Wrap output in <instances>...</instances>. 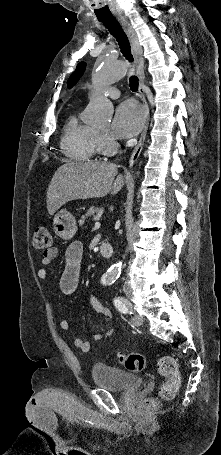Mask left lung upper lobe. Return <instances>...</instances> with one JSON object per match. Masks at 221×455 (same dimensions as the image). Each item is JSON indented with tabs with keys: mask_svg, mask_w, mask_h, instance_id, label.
<instances>
[{
	"mask_svg": "<svg viewBox=\"0 0 221 455\" xmlns=\"http://www.w3.org/2000/svg\"><path fill=\"white\" fill-rule=\"evenodd\" d=\"M84 66H85L84 62L78 64L76 70L73 72V74L70 76L67 82L69 88L76 84L78 79L81 77V75L84 72Z\"/></svg>",
	"mask_w": 221,
	"mask_h": 455,
	"instance_id": "left-lung-upper-lobe-1",
	"label": "left lung upper lobe"
}]
</instances>
